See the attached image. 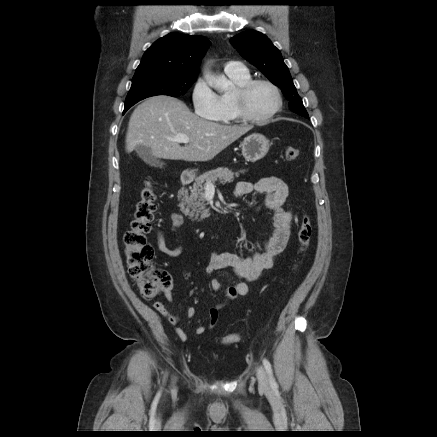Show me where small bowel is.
Segmentation results:
<instances>
[{"label":"small bowel","instance_id":"small-bowel-1","mask_svg":"<svg viewBox=\"0 0 437 437\" xmlns=\"http://www.w3.org/2000/svg\"><path fill=\"white\" fill-rule=\"evenodd\" d=\"M252 193L262 197V202L257 207L258 210L266 208L273 212V235L264 241L263 250L261 252H255L249 256H241L231 252H216L211 255L206 267L207 273L212 274L217 271L229 269L239 278L238 282L231 285H225L217 277L211 280L213 290L224 292V300L213 305L208 311L211 328L217 324L219 312L226 303L246 295L249 291V284L260 279L263 274L273 266L275 259L284 251L289 240L293 214L287 206L289 193L287 184L277 177H265L255 183L241 181L236 185L235 195L237 197H245ZM183 223L184 217L181 213L176 212L171 215V227L173 231H177ZM157 246L162 253L171 257L178 256L182 251L180 246L171 249L166 245L162 230H157ZM172 288V278L168 274H164L163 292L169 302L173 301ZM154 308L172 324L179 322L180 319L171 315L161 302L154 303ZM195 315V308H187L186 317L188 319H192ZM204 331L205 327L199 325L195 333L202 334ZM176 333L180 340H187L188 335L181 328H177Z\"/></svg>","mask_w":437,"mask_h":437}]
</instances>
